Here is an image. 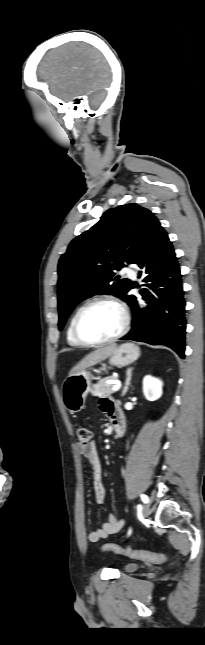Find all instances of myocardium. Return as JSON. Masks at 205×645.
I'll return each instance as SVG.
<instances>
[{"label":"myocardium","instance_id":"obj_1","mask_svg":"<svg viewBox=\"0 0 205 645\" xmlns=\"http://www.w3.org/2000/svg\"><path fill=\"white\" fill-rule=\"evenodd\" d=\"M96 304H111V305L115 306L121 313L122 324H121V327L118 330V332L115 333L114 335H112V336H110V337H108L106 339H103V340L92 341V340L85 339L81 335L80 330H79V321H80V317H81L82 313L87 308H89L90 306H93V305H96ZM129 326H130V315H129L127 307L119 299H117V298H115L113 296L106 295V296H99V297L92 298V299L88 300L82 306H80L78 308V310L76 311V313L74 314V317H73L72 332H73V335H74L75 339L81 345L89 346V347H96V346L105 345V344H108V343H111V342H114V341L118 340L119 338H121L122 336H124L126 334V332L129 329Z\"/></svg>","mask_w":205,"mask_h":645}]
</instances>
